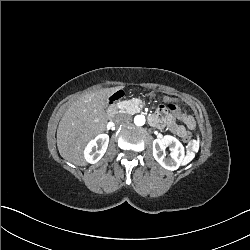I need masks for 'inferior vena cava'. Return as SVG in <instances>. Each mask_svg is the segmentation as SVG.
I'll use <instances>...</instances> for the list:
<instances>
[{"mask_svg":"<svg viewBox=\"0 0 250 250\" xmlns=\"http://www.w3.org/2000/svg\"><path fill=\"white\" fill-rule=\"evenodd\" d=\"M116 121L121 124H128L132 121V116L130 114H119Z\"/></svg>","mask_w":250,"mask_h":250,"instance_id":"inferior-vena-cava-1","label":"inferior vena cava"}]
</instances>
